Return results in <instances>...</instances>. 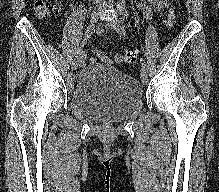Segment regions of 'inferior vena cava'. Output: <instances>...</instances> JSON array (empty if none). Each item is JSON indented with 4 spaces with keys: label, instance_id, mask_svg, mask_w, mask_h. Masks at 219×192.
Wrapping results in <instances>:
<instances>
[{
    "label": "inferior vena cava",
    "instance_id": "602c4592",
    "mask_svg": "<svg viewBox=\"0 0 219 192\" xmlns=\"http://www.w3.org/2000/svg\"><path fill=\"white\" fill-rule=\"evenodd\" d=\"M96 3H101L103 0H94Z\"/></svg>",
    "mask_w": 219,
    "mask_h": 192
}]
</instances>
